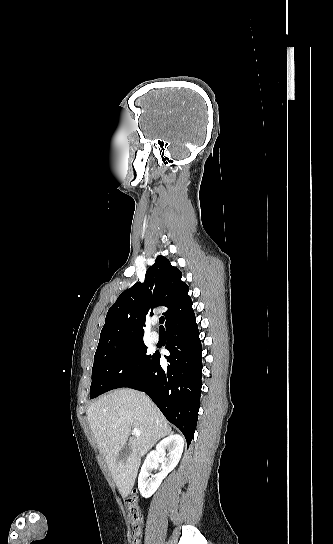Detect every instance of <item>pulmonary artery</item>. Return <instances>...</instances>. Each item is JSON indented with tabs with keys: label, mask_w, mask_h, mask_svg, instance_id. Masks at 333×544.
I'll return each instance as SVG.
<instances>
[{
	"label": "pulmonary artery",
	"mask_w": 333,
	"mask_h": 544,
	"mask_svg": "<svg viewBox=\"0 0 333 544\" xmlns=\"http://www.w3.org/2000/svg\"><path fill=\"white\" fill-rule=\"evenodd\" d=\"M157 323L156 320L152 321V324L155 325ZM151 339L153 342H157L159 340V333L157 331H152L151 333Z\"/></svg>",
	"instance_id": "1"
}]
</instances>
